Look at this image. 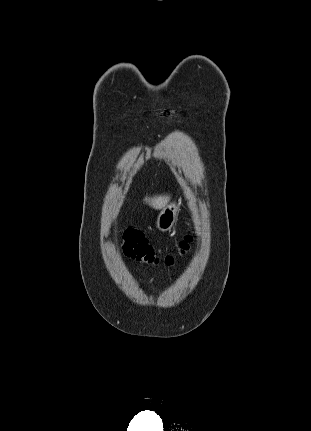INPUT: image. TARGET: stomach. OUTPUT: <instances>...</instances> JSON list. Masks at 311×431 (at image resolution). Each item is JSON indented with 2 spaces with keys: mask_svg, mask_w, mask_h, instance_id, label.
<instances>
[{
  "mask_svg": "<svg viewBox=\"0 0 311 431\" xmlns=\"http://www.w3.org/2000/svg\"><path fill=\"white\" fill-rule=\"evenodd\" d=\"M178 216V204L177 202H172L165 206L161 212H159L156 219V227L159 231H169L172 229Z\"/></svg>",
  "mask_w": 311,
  "mask_h": 431,
  "instance_id": "stomach-1",
  "label": "stomach"
}]
</instances>
